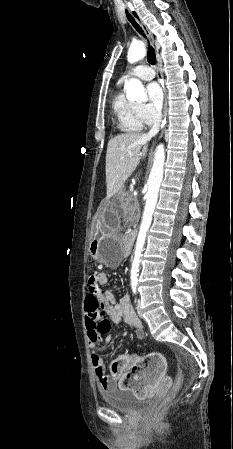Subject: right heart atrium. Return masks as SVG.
<instances>
[{
	"label": "right heart atrium",
	"mask_w": 233,
	"mask_h": 449,
	"mask_svg": "<svg viewBox=\"0 0 233 449\" xmlns=\"http://www.w3.org/2000/svg\"><path fill=\"white\" fill-rule=\"evenodd\" d=\"M138 112L143 122L147 125L157 122L160 118V112L150 104L138 105Z\"/></svg>",
	"instance_id": "d8ad5b80"
}]
</instances>
